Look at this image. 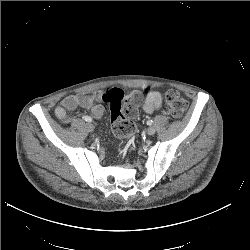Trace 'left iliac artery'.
<instances>
[{"mask_svg": "<svg viewBox=\"0 0 250 250\" xmlns=\"http://www.w3.org/2000/svg\"><path fill=\"white\" fill-rule=\"evenodd\" d=\"M147 124H148V125H152V124H153V120H148V121H147Z\"/></svg>", "mask_w": 250, "mask_h": 250, "instance_id": "left-iliac-artery-1", "label": "left iliac artery"}]
</instances>
